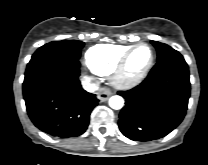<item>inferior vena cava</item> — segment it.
Segmentation results:
<instances>
[{
    "label": "inferior vena cava",
    "instance_id": "1",
    "mask_svg": "<svg viewBox=\"0 0 208 165\" xmlns=\"http://www.w3.org/2000/svg\"><path fill=\"white\" fill-rule=\"evenodd\" d=\"M83 88L88 92H94L98 90L99 83L94 82L91 78L85 77L82 82Z\"/></svg>",
    "mask_w": 208,
    "mask_h": 165
}]
</instances>
